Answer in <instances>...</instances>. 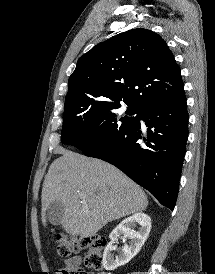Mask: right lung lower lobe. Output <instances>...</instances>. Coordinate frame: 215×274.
<instances>
[{
	"mask_svg": "<svg viewBox=\"0 0 215 274\" xmlns=\"http://www.w3.org/2000/svg\"><path fill=\"white\" fill-rule=\"evenodd\" d=\"M146 129L141 127L140 120ZM188 138L186 96L140 108L124 132L83 152L107 161L173 210Z\"/></svg>",
	"mask_w": 215,
	"mask_h": 274,
	"instance_id": "1",
	"label": "right lung lower lobe"
}]
</instances>
